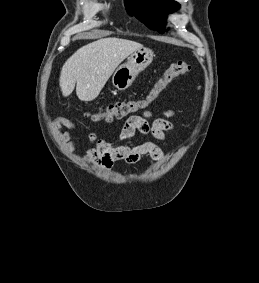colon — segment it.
Returning a JSON list of instances; mask_svg holds the SVG:
<instances>
[{"label":"colon","mask_w":259,"mask_h":283,"mask_svg":"<svg viewBox=\"0 0 259 283\" xmlns=\"http://www.w3.org/2000/svg\"><path fill=\"white\" fill-rule=\"evenodd\" d=\"M190 70L191 66L189 63L184 61L174 62L153 83L152 87L144 97L122 100L106 107H101L95 113L91 114V118L96 121L111 122L139 112L157 99L175 78L188 74Z\"/></svg>","instance_id":"1"}]
</instances>
